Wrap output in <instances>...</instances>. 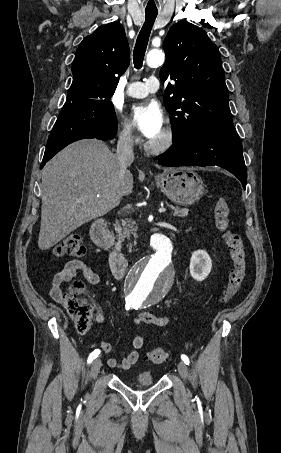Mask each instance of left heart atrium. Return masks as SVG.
Instances as JSON below:
<instances>
[{
  "mask_svg": "<svg viewBox=\"0 0 281 453\" xmlns=\"http://www.w3.org/2000/svg\"><path fill=\"white\" fill-rule=\"evenodd\" d=\"M132 119L139 131L148 139L164 127L163 110L154 101L136 106L132 111Z\"/></svg>",
  "mask_w": 281,
  "mask_h": 453,
  "instance_id": "1",
  "label": "left heart atrium"
}]
</instances>
